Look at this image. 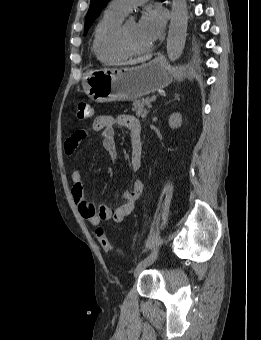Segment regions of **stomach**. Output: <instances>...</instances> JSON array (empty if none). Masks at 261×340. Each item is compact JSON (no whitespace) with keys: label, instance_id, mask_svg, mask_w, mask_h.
Returning a JSON list of instances; mask_svg holds the SVG:
<instances>
[{"label":"stomach","instance_id":"obj_1","mask_svg":"<svg viewBox=\"0 0 261 340\" xmlns=\"http://www.w3.org/2000/svg\"><path fill=\"white\" fill-rule=\"evenodd\" d=\"M186 69L174 73L182 79ZM173 71L162 58L136 67L90 71L83 78V89L95 102L130 101L141 98L172 82Z\"/></svg>","mask_w":261,"mask_h":340}]
</instances>
